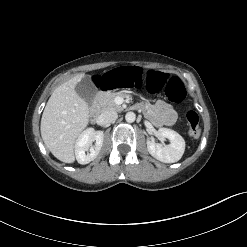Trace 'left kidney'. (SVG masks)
I'll list each match as a JSON object with an SVG mask.
<instances>
[{"instance_id": "1", "label": "left kidney", "mask_w": 247, "mask_h": 247, "mask_svg": "<svg viewBox=\"0 0 247 247\" xmlns=\"http://www.w3.org/2000/svg\"><path fill=\"white\" fill-rule=\"evenodd\" d=\"M158 135L161 139L170 140L169 145L156 143L153 140H147L148 152L157 160L164 163H174L181 159L185 150V141L176 131L168 128H160Z\"/></svg>"}]
</instances>
